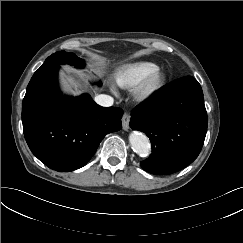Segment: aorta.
<instances>
[{"mask_svg":"<svg viewBox=\"0 0 243 243\" xmlns=\"http://www.w3.org/2000/svg\"><path fill=\"white\" fill-rule=\"evenodd\" d=\"M129 141L132 149L139 156H147L151 150V145L148 137L141 132H132L129 136Z\"/></svg>","mask_w":243,"mask_h":243,"instance_id":"762f6f07","label":"aorta"}]
</instances>
